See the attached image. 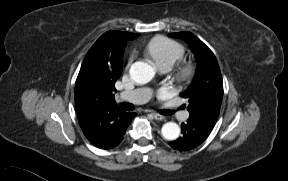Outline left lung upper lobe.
Listing matches in <instances>:
<instances>
[{"instance_id":"1","label":"left lung upper lobe","mask_w":288,"mask_h":181,"mask_svg":"<svg viewBox=\"0 0 288 181\" xmlns=\"http://www.w3.org/2000/svg\"><path fill=\"white\" fill-rule=\"evenodd\" d=\"M169 36L184 39L198 62L194 80L184 93L189 102V118L214 126L223 97V82L217 60L212 51L190 32L171 33Z\"/></svg>"}]
</instances>
